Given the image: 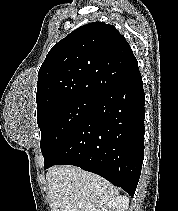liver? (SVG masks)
<instances>
[{"label":"liver","instance_id":"1","mask_svg":"<svg viewBox=\"0 0 178 211\" xmlns=\"http://www.w3.org/2000/svg\"><path fill=\"white\" fill-rule=\"evenodd\" d=\"M46 180L52 211H101L119 195L104 178L75 166H53Z\"/></svg>","mask_w":178,"mask_h":211}]
</instances>
